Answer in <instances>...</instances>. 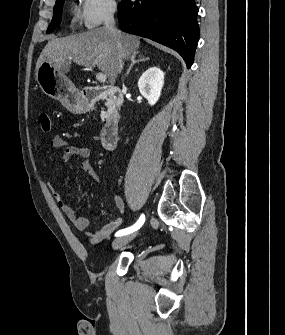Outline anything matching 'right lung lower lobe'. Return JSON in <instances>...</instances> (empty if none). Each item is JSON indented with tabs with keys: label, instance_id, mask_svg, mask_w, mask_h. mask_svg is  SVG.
Masks as SVG:
<instances>
[{
	"label": "right lung lower lobe",
	"instance_id": "1",
	"mask_svg": "<svg viewBox=\"0 0 285 335\" xmlns=\"http://www.w3.org/2000/svg\"><path fill=\"white\" fill-rule=\"evenodd\" d=\"M195 0H122L118 21L122 30L176 50L188 68L199 39Z\"/></svg>",
	"mask_w": 285,
	"mask_h": 335
}]
</instances>
